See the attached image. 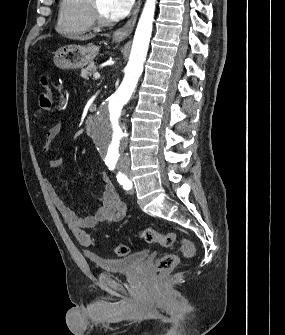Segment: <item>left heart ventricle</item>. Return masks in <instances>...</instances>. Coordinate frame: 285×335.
<instances>
[{"mask_svg": "<svg viewBox=\"0 0 285 335\" xmlns=\"http://www.w3.org/2000/svg\"><path fill=\"white\" fill-rule=\"evenodd\" d=\"M100 4H101V8H102L104 16L110 20V17L107 14L106 9H105L104 1H100Z\"/></svg>", "mask_w": 285, "mask_h": 335, "instance_id": "left-heart-ventricle-1", "label": "left heart ventricle"}]
</instances>
